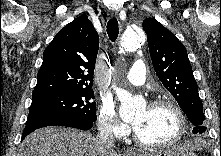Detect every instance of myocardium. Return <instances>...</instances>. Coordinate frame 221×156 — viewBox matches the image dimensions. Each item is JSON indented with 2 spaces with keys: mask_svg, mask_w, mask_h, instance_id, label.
Segmentation results:
<instances>
[{
  "mask_svg": "<svg viewBox=\"0 0 221 156\" xmlns=\"http://www.w3.org/2000/svg\"><path fill=\"white\" fill-rule=\"evenodd\" d=\"M168 107L174 111L178 118L179 128L176 135L169 141L163 143H150L144 141L137 133L136 129L134 128L133 131V138L134 140L142 147L150 148V149H162L171 147L184 137L187 131V118L185 116L184 111L182 108L173 100L167 98L156 99L149 104V107L156 108V107Z\"/></svg>",
  "mask_w": 221,
  "mask_h": 156,
  "instance_id": "f54148a6",
  "label": "myocardium"
}]
</instances>
